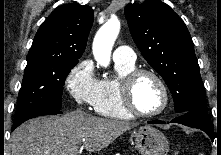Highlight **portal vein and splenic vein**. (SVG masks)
<instances>
[{"mask_svg":"<svg viewBox=\"0 0 221 155\" xmlns=\"http://www.w3.org/2000/svg\"><path fill=\"white\" fill-rule=\"evenodd\" d=\"M78 154V149H75L72 153H71V155H77Z\"/></svg>","mask_w":221,"mask_h":155,"instance_id":"18ae733b","label":"portal vein and splenic vein"}]
</instances>
